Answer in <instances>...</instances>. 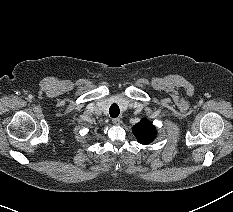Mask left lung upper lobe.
I'll return each mask as SVG.
<instances>
[{"label":"left lung upper lobe","mask_w":233,"mask_h":212,"mask_svg":"<svg viewBox=\"0 0 233 212\" xmlns=\"http://www.w3.org/2000/svg\"><path fill=\"white\" fill-rule=\"evenodd\" d=\"M132 131L138 142L144 145L151 143L157 134L153 124L145 118L133 126Z\"/></svg>","instance_id":"1"}]
</instances>
